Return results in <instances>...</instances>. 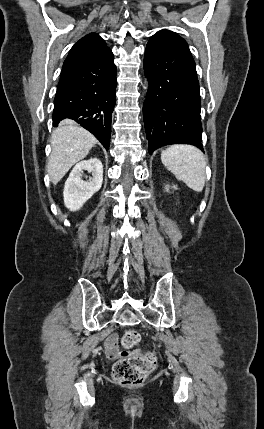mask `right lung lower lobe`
I'll return each instance as SVG.
<instances>
[{"label":"right lung lower lobe","mask_w":264,"mask_h":429,"mask_svg":"<svg viewBox=\"0 0 264 429\" xmlns=\"http://www.w3.org/2000/svg\"><path fill=\"white\" fill-rule=\"evenodd\" d=\"M117 69L113 53L98 57L61 74L54 99L53 126L71 119L90 131L108 150L115 105Z\"/></svg>","instance_id":"right-lung-lower-lobe-1"}]
</instances>
